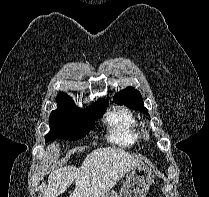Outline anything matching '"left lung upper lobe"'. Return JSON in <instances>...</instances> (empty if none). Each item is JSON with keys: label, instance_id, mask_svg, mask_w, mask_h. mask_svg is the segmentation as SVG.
Returning <instances> with one entry per match:
<instances>
[{"label": "left lung upper lobe", "instance_id": "1", "mask_svg": "<svg viewBox=\"0 0 209 197\" xmlns=\"http://www.w3.org/2000/svg\"><path fill=\"white\" fill-rule=\"evenodd\" d=\"M115 98L129 108L138 109L148 113V110L143 106V100L140 92L133 87H127L126 89L120 91L114 96V99Z\"/></svg>", "mask_w": 209, "mask_h": 197}]
</instances>
